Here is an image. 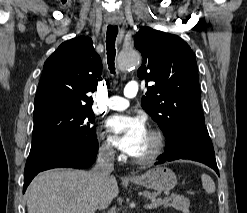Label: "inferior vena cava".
I'll return each mask as SVG.
<instances>
[{
	"label": "inferior vena cava",
	"mask_w": 247,
	"mask_h": 213,
	"mask_svg": "<svg viewBox=\"0 0 247 213\" xmlns=\"http://www.w3.org/2000/svg\"><path fill=\"white\" fill-rule=\"evenodd\" d=\"M115 152L109 146H102L99 149L98 158L93 169L99 180L107 182L110 180V174L114 170Z\"/></svg>",
	"instance_id": "inferior-vena-cava-1"
}]
</instances>
